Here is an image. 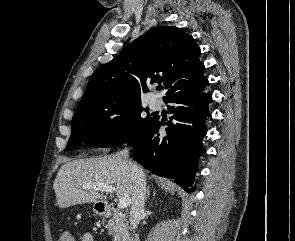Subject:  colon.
<instances>
[{
  "label": "colon",
  "mask_w": 295,
  "mask_h": 241,
  "mask_svg": "<svg viewBox=\"0 0 295 241\" xmlns=\"http://www.w3.org/2000/svg\"><path fill=\"white\" fill-rule=\"evenodd\" d=\"M61 241H74L72 235L68 232H64L60 236Z\"/></svg>",
  "instance_id": "obj_1"
}]
</instances>
